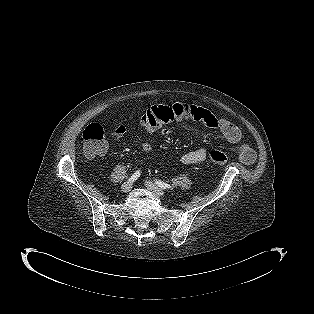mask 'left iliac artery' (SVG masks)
I'll list each match as a JSON object with an SVG mask.
<instances>
[{
    "label": "left iliac artery",
    "instance_id": "left-iliac-artery-1",
    "mask_svg": "<svg viewBox=\"0 0 314 314\" xmlns=\"http://www.w3.org/2000/svg\"><path fill=\"white\" fill-rule=\"evenodd\" d=\"M155 182H156V184H157L159 187H161L162 189H173L172 186H170L169 184L164 183V182H162V181H160V180H157V179H156Z\"/></svg>",
    "mask_w": 314,
    "mask_h": 314
}]
</instances>
